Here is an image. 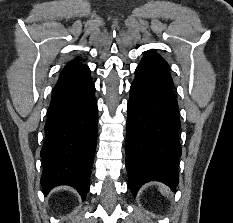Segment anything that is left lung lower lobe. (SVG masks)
I'll return each mask as SVG.
<instances>
[{"mask_svg":"<svg viewBox=\"0 0 233 223\" xmlns=\"http://www.w3.org/2000/svg\"><path fill=\"white\" fill-rule=\"evenodd\" d=\"M173 85L168 63L155 50L147 51L135 70L127 108L125 164L134 196L152 180L173 191L179 183L181 123Z\"/></svg>","mask_w":233,"mask_h":223,"instance_id":"left-lung-lower-lobe-1","label":"left lung lower lobe"}]
</instances>
